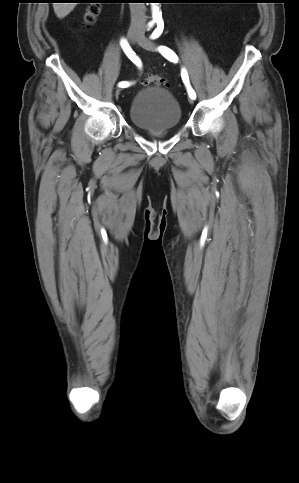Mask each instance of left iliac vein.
<instances>
[{"instance_id": "obj_1", "label": "left iliac vein", "mask_w": 299, "mask_h": 483, "mask_svg": "<svg viewBox=\"0 0 299 483\" xmlns=\"http://www.w3.org/2000/svg\"><path fill=\"white\" fill-rule=\"evenodd\" d=\"M137 41L142 48L149 51H156V45L150 40H148L143 34H139ZM189 102L193 104V99H189Z\"/></svg>"}]
</instances>
